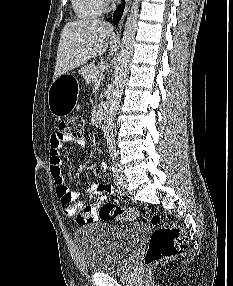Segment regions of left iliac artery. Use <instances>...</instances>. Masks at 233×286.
I'll return each instance as SVG.
<instances>
[{
	"instance_id": "obj_1",
	"label": "left iliac artery",
	"mask_w": 233,
	"mask_h": 286,
	"mask_svg": "<svg viewBox=\"0 0 233 286\" xmlns=\"http://www.w3.org/2000/svg\"><path fill=\"white\" fill-rule=\"evenodd\" d=\"M109 152H110V155H111L113 164H116V161H117V151H116L115 146L111 145V146L109 147Z\"/></svg>"
}]
</instances>
